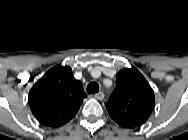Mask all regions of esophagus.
Listing matches in <instances>:
<instances>
[{
	"label": "esophagus",
	"instance_id": "1",
	"mask_svg": "<svg viewBox=\"0 0 188 140\" xmlns=\"http://www.w3.org/2000/svg\"><path fill=\"white\" fill-rule=\"evenodd\" d=\"M104 93L103 92H98L94 95V97L98 100H103L104 99Z\"/></svg>",
	"mask_w": 188,
	"mask_h": 140
}]
</instances>
